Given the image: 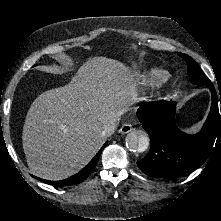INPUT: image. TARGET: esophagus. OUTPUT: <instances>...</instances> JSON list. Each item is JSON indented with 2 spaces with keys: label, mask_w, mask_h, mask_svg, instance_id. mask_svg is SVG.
<instances>
[{
  "label": "esophagus",
  "mask_w": 221,
  "mask_h": 221,
  "mask_svg": "<svg viewBox=\"0 0 221 221\" xmlns=\"http://www.w3.org/2000/svg\"><path fill=\"white\" fill-rule=\"evenodd\" d=\"M132 131V126L128 123H124L121 128L119 129V133L127 134Z\"/></svg>",
  "instance_id": "34e87169"
}]
</instances>
